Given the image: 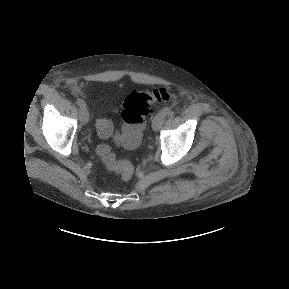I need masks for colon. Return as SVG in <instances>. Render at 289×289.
Listing matches in <instances>:
<instances>
[{"label":"colon","mask_w":289,"mask_h":289,"mask_svg":"<svg viewBox=\"0 0 289 289\" xmlns=\"http://www.w3.org/2000/svg\"><path fill=\"white\" fill-rule=\"evenodd\" d=\"M174 95L166 89L152 91H134L124 100L122 105L123 125L120 133H114L112 123L105 119H98L96 128L102 138L114 137L128 150L136 149L140 144L142 132L145 127L146 117L150 114L152 106L156 103L168 102ZM98 152L106 168L119 173L124 179H129L133 174V166L127 160H116L107 145H101Z\"/></svg>","instance_id":"obj_1"}]
</instances>
